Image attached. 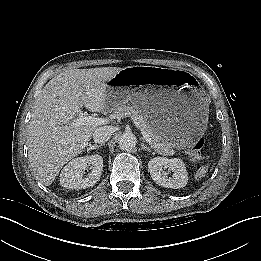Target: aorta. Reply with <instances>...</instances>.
<instances>
[{
	"label": "aorta",
	"instance_id": "1",
	"mask_svg": "<svg viewBox=\"0 0 261 261\" xmlns=\"http://www.w3.org/2000/svg\"><path fill=\"white\" fill-rule=\"evenodd\" d=\"M137 139L133 133H123L118 139V147L121 150H131L136 146Z\"/></svg>",
	"mask_w": 261,
	"mask_h": 261
}]
</instances>
